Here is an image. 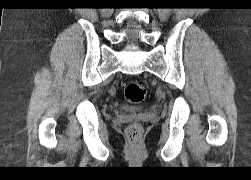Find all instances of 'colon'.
<instances>
[{"label":"colon","instance_id":"obj_1","mask_svg":"<svg viewBox=\"0 0 251 180\" xmlns=\"http://www.w3.org/2000/svg\"><path fill=\"white\" fill-rule=\"evenodd\" d=\"M124 97L127 101L133 104H139L146 97V89L143 85L136 81H131L124 86ZM141 128L138 123H132L127 128V136L132 141H137L140 138Z\"/></svg>","mask_w":251,"mask_h":180}]
</instances>
